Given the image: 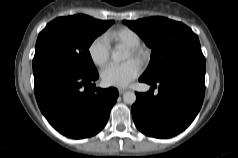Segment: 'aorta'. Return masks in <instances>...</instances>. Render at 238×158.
<instances>
[{
  "label": "aorta",
  "instance_id": "aorta-1",
  "mask_svg": "<svg viewBox=\"0 0 238 158\" xmlns=\"http://www.w3.org/2000/svg\"><path fill=\"white\" fill-rule=\"evenodd\" d=\"M114 61H121L126 58V54L121 50H114L111 55ZM123 100L126 104H134L136 101V95L134 92L128 91L123 94Z\"/></svg>",
  "mask_w": 238,
  "mask_h": 158
}]
</instances>
